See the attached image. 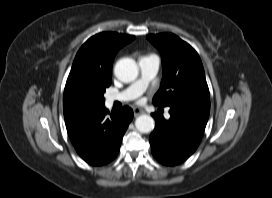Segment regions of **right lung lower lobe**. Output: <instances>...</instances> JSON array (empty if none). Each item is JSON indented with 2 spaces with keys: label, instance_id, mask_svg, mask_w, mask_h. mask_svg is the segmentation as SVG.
Segmentation results:
<instances>
[{
  "label": "right lung lower lobe",
  "instance_id": "obj_1",
  "mask_svg": "<svg viewBox=\"0 0 272 198\" xmlns=\"http://www.w3.org/2000/svg\"><path fill=\"white\" fill-rule=\"evenodd\" d=\"M133 118L125 106L108 115L105 106L66 125L69 138L77 153L90 165L111 162L118 154L122 137Z\"/></svg>",
  "mask_w": 272,
  "mask_h": 198
}]
</instances>
